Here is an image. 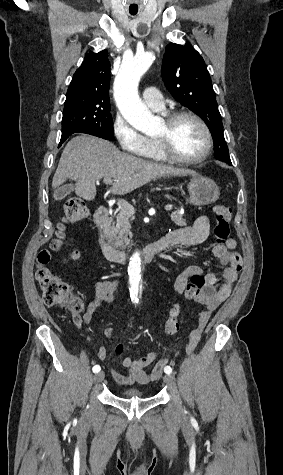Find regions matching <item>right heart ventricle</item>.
I'll list each match as a JSON object with an SVG mask.
<instances>
[{
    "label": "right heart ventricle",
    "instance_id": "e07e8e85",
    "mask_svg": "<svg viewBox=\"0 0 283 475\" xmlns=\"http://www.w3.org/2000/svg\"><path fill=\"white\" fill-rule=\"evenodd\" d=\"M149 143H150V146H149V151H148V157L153 160H162L158 152L157 142L155 138L149 139Z\"/></svg>",
    "mask_w": 283,
    "mask_h": 475
}]
</instances>
